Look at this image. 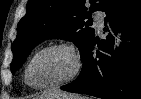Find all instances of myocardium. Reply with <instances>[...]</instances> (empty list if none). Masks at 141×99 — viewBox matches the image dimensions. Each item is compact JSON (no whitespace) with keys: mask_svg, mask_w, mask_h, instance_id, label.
Masks as SVG:
<instances>
[{"mask_svg":"<svg viewBox=\"0 0 141 99\" xmlns=\"http://www.w3.org/2000/svg\"><path fill=\"white\" fill-rule=\"evenodd\" d=\"M52 49H65L69 51L74 60V69L69 76H67L66 78L58 82L47 84V85H40V86L34 85L31 82L30 77H29L31 66L39 55H41L42 53L48 50H52ZM81 70H82V58L77 48L73 44L68 43V42H57V43H53V44H50V45H47L41 48L32 56V58L28 62L27 67L25 69V80H26V83L34 89H37V90L52 89V88H57V87H60V86H63L65 84L72 82L80 74Z\"/></svg>","mask_w":141,"mask_h":99,"instance_id":"1","label":"myocardium"}]
</instances>
